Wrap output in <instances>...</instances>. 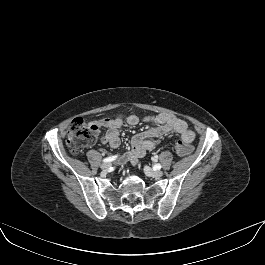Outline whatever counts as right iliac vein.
Returning a JSON list of instances; mask_svg holds the SVG:
<instances>
[{"mask_svg": "<svg viewBox=\"0 0 265 265\" xmlns=\"http://www.w3.org/2000/svg\"><path fill=\"white\" fill-rule=\"evenodd\" d=\"M109 167H110V164L109 163H103L101 165V169H103V170H107Z\"/></svg>", "mask_w": 265, "mask_h": 265, "instance_id": "1", "label": "right iliac vein"}]
</instances>
